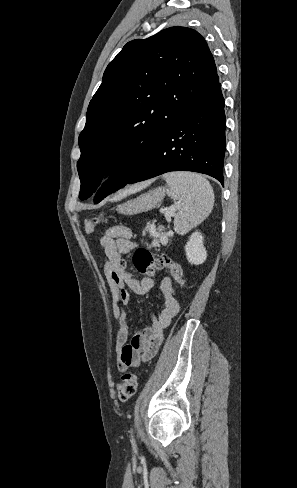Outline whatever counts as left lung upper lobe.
I'll use <instances>...</instances> for the list:
<instances>
[{"mask_svg":"<svg viewBox=\"0 0 297 488\" xmlns=\"http://www.w3.org/2000/svg\"><path fill=\"white\" fill-rule=\"evenodd\" d=\"M219 83L204 38L171 27L128 42L109 63L90 101L79 135V198L94 201L124 187L156 146L196 103Z\"/></svg>","mask_w":297,"mask_h":488,"instance_id":"1","label":"left lung upper lobe"}]
</instances>
